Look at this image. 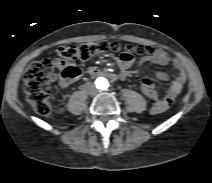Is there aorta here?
<instances>
[{"mask_svg": "<svg viewBox=\"0 0 212 183\" xmlns=\"http://www.w3.org/2000/svg\"><path fill=\"white\" fill-rule=\"evenodd\" d=\"M95 84L100 90H106L109 87V82L105 77H98L95 81Z\"/></svg>", "mask_w": 212, "mask_h": 183, "instance_id": "obj_1", "label": "aorta"}]
</instances>
